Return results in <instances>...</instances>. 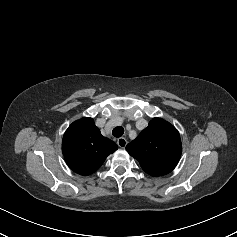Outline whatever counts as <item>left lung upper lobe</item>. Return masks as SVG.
Segmentation results:
<instances>
[{
    "instance_id": "5c2ea615",
    "label": "left lung upper lobe",
    "mask_w": 237,
    "mask_h": 237,
    "mask_svg": "<svg viewBox=\"0 0 237 237\" xmlns=\"http://www.w3.org/2000/svg\"><path fill=\"white\" fill-rule=\"evenodd\" d=\"M142 169L154 177L171 172L177 165L182 145L177 129L169 122L154 118L140 135L126 147Z\"/></svg>"
}]
</instances>
